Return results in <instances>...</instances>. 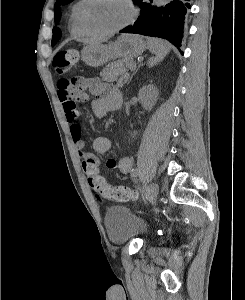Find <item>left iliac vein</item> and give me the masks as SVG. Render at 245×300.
Segmentation results:
<instances>
[{
    "instance_id": "1",
    "label": "left iliac vein",
    "mask_w": 245,
    "mask_h": 300,
    "mask_svg": "<svg viewBox=\"0 0 245 300\" xmlns=\"http://www.w3.org/2000/svg\"><path fill=\"white\" fill-rule=\"evenodd\" d=\"M158 190H159L158 185L156 183H151L148 192V198L150 202H153L157 198Z\"/></svg>"
}]
</instances>
